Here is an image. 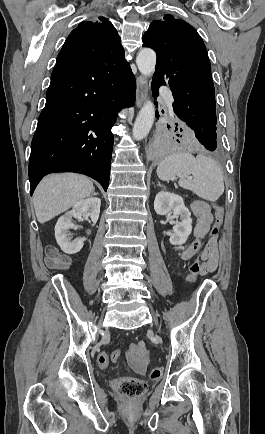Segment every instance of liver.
Returning <instances> with one entry per match:
<instances>
[{"mask_svg":"<svg viewBox=\"0 0 265 434\" xmlns=\"http://www.w3.org/2000/svg\"><path fill=\"white\" fill-rule=\"evenodd\" d=\"M94 190L93 182L86 176H79V174L46 176L38 184L33 196L38 222L40 224L49 222L55 216L75 206L83 198H88Z\"/></svg>","mask_w":265,"mask_h":434,"instance_id":"obj_1","label":"liver"}]
</instances>
